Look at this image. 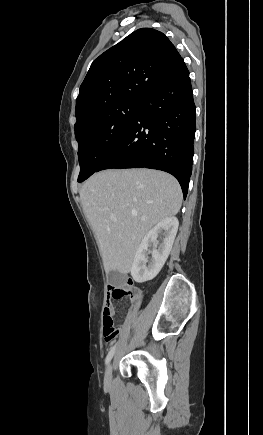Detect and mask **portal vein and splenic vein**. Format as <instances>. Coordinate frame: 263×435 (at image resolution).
Listing matches in <instances>:
<instances>
[{
	"label": "portal vein and splenic vein",
	"mask_w": 263,
	"mask_h": 435,
	"mask_svg": "<svg viewBox=\"0 0 263 435\" xmlns=\"http://www.w3.org/2000/svg\"><path fill=\"white\" fill-rule=\"evenodd\" d=\"M113 221H114V222H117V220H116V219H113Z\"/></svg>",
	"instance_id": "portal-vein-and-splenic-vein-1"
}]
</instances>
